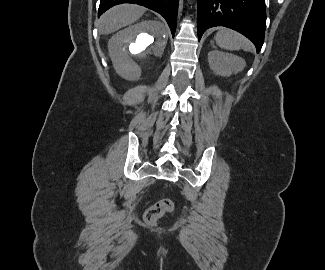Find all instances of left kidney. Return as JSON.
Masks as SVG:
<instances>
[{
	"mask_svg": "<svg viewBox=\"0 0 325 270\" xmlns=\"http://www.w3.org/2000/svg\"><path fill=\"white\" fill-rule=\"evenodd\" d=\"M208 62L215 74L224 77L238 73L246 66L245 61L241 57L218 50L208 53Z\"/></svg>",
	"mask_w": 325,
	"mask_h": 270,
	"instance_id": "5707ae66",
	"label": "left kidney"
}]
</instances>
